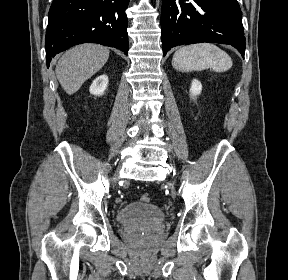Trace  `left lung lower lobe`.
<instances>
[{"label":"left lung lower lobe","mask_w":288,"mask_h":280,"mask_svg":"<svg viewBox=\"0 0 288 280\" xmlns=\"http://www.w3.org/2000/svg\"><path fill=\"white\" fill-rule=\"evenodd\" d=\"M242 14L237 0H163V56L175 46L222 43L245 53Z\"/></svg>","instance_id":"obj_1"}]
</instances>
